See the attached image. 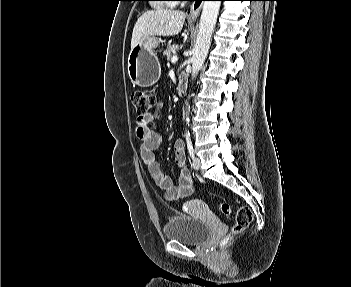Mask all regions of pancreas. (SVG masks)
I'll return each mask as SVG.
<instances>
[{
  "mask_svg": "<svg viewBox=\"0 0 351 287\" xmlns=\"http://www.w3.org/2000/svg\"><path fill=\"white\" fill-rule=\"evenodd\" d=\"M178 50V46L177 45H172L169 46L164 52L163 55H165L167 57L168 60H170L173 55L176 53V51Z\"/></svg>",
  "mask_w": 351,
  "mask_h": 287,
  "instance_id": "obj_1",
  "label": "pancreas"
}]
</instances>
